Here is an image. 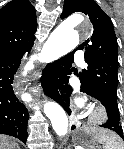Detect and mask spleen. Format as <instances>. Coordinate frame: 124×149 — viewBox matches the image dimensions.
Masks as SVG:
<instances>
[{"instance_id":"3e777b00","label":"spleen","mask_w":124,"mask_h":149,"mask_svg":"<svg viewBox=\"0 0 124 149\" xmlns=\"http://www.w3.org/2000/svg\"><path fill=\"white\" fill-rule=\"evenodd\" d=\"M100 141L103 143V149H121L120 140L117 136L113 138L101 137Z\"/></svg>"}]
</instances>
